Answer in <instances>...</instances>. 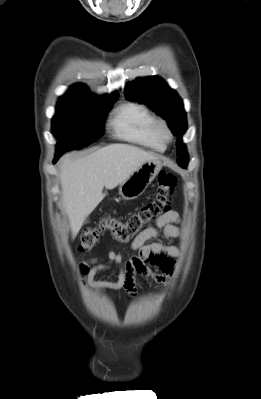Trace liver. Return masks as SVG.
<instances>
[{"label": "liver", "instance_id": "obj_1", "mask_svg": "<svg viewBox=\"0 0 261 399\" xmlns=\"http://www.w3.org/2000/svg\"><path fill=\"white\" fill-rule=\"evenodd\" d=\"M156 159L152 153L121 143L105 146L77 160L65 156L60 181L72 238L77 236L86 217L105 197L104 187L115 188L141 164Z\"/></svg>", "mask_w": 261, "mask_h": 399}]
</instances>
